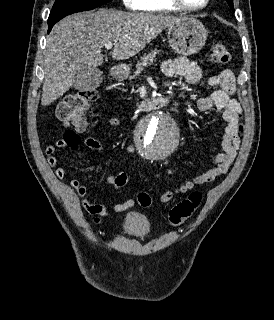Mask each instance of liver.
Instances as JSON below:
<instances>
[{
    "label": "liver",
    "mask_w": 274,
    "mask_h": 320,
    "mask_svg": "<svg viewBox=\"0 0 274 320\" xmlns=\"http://www.w3.org/2000/svg\"><path fill=\"white\" fill-rule=\"evenodd\" d=\"M179 16L139 14L101 8L67 16L53 26L46 40L42 106L61 98L77 72H90L103 64L101 54L106 44H113V60H129L155 40Z\"/></svg>",
    "instance_id": "1"
}]
</instances>
